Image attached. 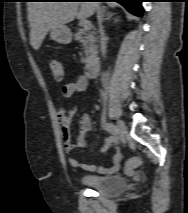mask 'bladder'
<instances>
[{
  "mask_svg": "<svg viewBox=\"0 0 188 213\" xmlns=\"http://www.w3.org/2000/svg\"><path fill=\"white\" fill-rule=\"evenodd\" d=\"M79 183L110 197L123 193L127 187V181L121 176L86 174L80 177Z\"/></svg>",
  "mask_w": 188,
  "mask_h": 213,
  "instance_id": "1",
  "label": "bladder"
}]
</instances>
